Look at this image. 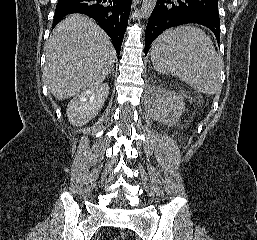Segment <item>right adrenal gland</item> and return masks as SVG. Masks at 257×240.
<instances>
[{"label":"right adrenal gland","mask_w":257,"mask_h":240,"mask_svg":"<svg viewBox=\"0 0 257 240\" xmlns=\"http://www.w3.org/2000/svg\"><path fill=\"white\" fill-rule=\"evenodd\" d=\"M112 75H114V69L111 70Z\"/></svg>","instance_id":"2a0ac1e0"}]
</instances>
